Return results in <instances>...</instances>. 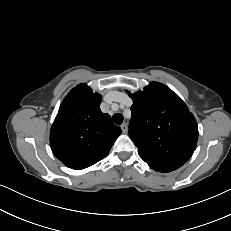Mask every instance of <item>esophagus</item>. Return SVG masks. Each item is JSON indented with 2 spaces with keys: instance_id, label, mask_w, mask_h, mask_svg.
Returning <instances> with one entry per match:
<instances>
[{
  "instance_id": "1",
  "label": "esophagus",
  "mask_w": 231,
  "mask_h": 231,
  "mask_svg": "<svg viewBox=\"0 0 231 231\" xmlns=\"http://www.w3.org/2000/svg\"><path fill=\"white\" fill-rule=\"evenodd\" d=\"M121 129H122V132H123V133H127L128 127H127V125L124 123V124L121 125Z\"/></svg>"
}]
</instances>
